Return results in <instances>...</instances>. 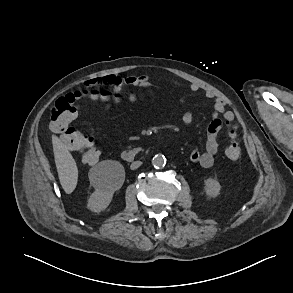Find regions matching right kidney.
Masks as SVG:
<instances>
[{"instance_id": "ca27d5eb", "label": "right kidney", "mask_w": 293, "mask_h": 293, "mask_svg": "<svg viewBox=\"0 0 293 293\" xmlns=\"http://www.w3.org/2000/svg\"><path fill=\"white\" fill-rule=\"evenodd\" d=\"M103 164L106 177L102 179L101 184L96 185L95 191L88 200L89 209L96 213L108 207L114 192L121 188L125 179L124 167L118 161L106 160Z\"/></svg>"}]
</instances>
